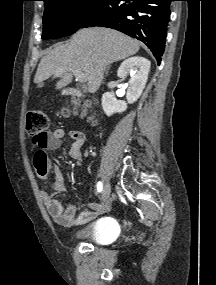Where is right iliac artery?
<instances>
[{
	"mask_svg": "<svg viewBox=\"0 0 216 285\" xmlns=\"http://www.w3.org/2000/svg\"><path fill=\"white\" fill-rule=\"evenodd\" d=\"M102 189H103L102 182L99 181V182L97 183V191H98V192H101Z\"/></svg>",
	"mask_w": 216,
	"mask_h": 285,
	"instance_id": "1",
	"label": "right iliac artery"
}]
</instances>
